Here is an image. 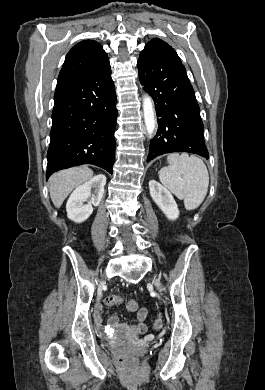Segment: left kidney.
I'll use <instances>...</instances> for the list:
<instances>
[{
  "label": "left kidney",
  "mask_w": 265,
  "mask_h": 390,
  "mask_svg": "<svg viewBox=\"0 0 265 390\" xmlns=\"http://www.w3.org/2000/svg\"><path fill=\"white\" fill-rule=\"evenodd\" d=\"M149 190L152 199L166 217L176 220L179 216V209L171 192L156 180L149 181Z\"/></svg>",
  "instance_id": "left-kidney-1"
}]
</instances>
